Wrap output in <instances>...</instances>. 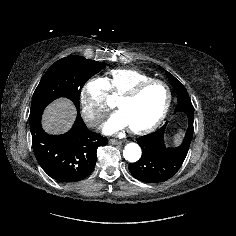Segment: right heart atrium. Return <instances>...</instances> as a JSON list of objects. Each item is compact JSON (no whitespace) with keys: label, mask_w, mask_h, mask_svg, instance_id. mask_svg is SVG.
<instances>
[{"label":"right heart atrium","mask_w":236,"mask_h":236,"mask_svg":"<svg viewBox=\"0 0 236 236\" xmlns=\"http://www.w3.org/2000/svg\"><path fill=\"white\" fill-rule=\"evenodd\" d=\"M80 105L85 121L96 127L109 111L106 86L101 78L88 80L80 92Z\"/></svg>","instance_id":"right-heart-atrium-1"}]
</instances>
